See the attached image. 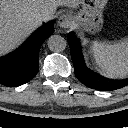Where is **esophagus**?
Here are the masks:
<instances>
[{"instance_id": "obj_1", "label": "esophagus", "mask_w": 128, "mask_h": 128, "mask_svg": "<svg viewBox=\"0 0 128 128\" xmlns=\"http://www.w3.org/2000/svg\"><path fill=\"white\" fill-rule=\"evenodd\" d=\"M73 25V18L69 14H62L57 20V26L60 28H70Z\"/></svg>"}]
</instances>
